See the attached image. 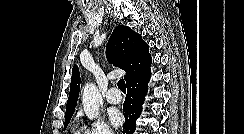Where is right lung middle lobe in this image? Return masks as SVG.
I'll return each instance as SVG.
<instances>
[{
	"instance_id": "obj_1",
	"label": "right lung middle lobe",
	"mask_w": 244,
	"mask_h": 134,
	"mask_svg": "<svg viewBox=\"0 0 244 134\" xmlns=\"http://www.w3.org/2000/svg\"><path fill=\"white\" fill-rule=\"evenodd\" d=\"M71 117H72V115L71 116H65L64 129H66L67 125L69 124Z\"/></svg>"
}]
</instances>
